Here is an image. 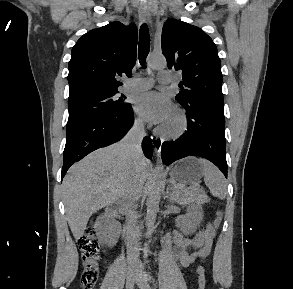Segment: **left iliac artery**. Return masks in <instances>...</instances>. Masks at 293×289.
I'll list each match as a JSON object with an SVG mask.
<instances>
[{"instance_id":"left-iliac-artery-1","label":"left iliac artery","mask_w":293,"mask_h":289,"mask_svg":"<svg viewBox=\"0 0 293 289\" xmlns=\"http://www.w3.org/2000/svg\"><path fill=\"white\" fill-rule=\"evenodd\" d=\"M153 285H154V287L156 288L157 286H156V283H155V281L153 280Z\"/></svg>"}]
</instances>
